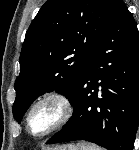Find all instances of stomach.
<instances>
[{
	"mask_svg": "<svg viewBox=\"0 0 139 150\" xmlns=\"http://www.w3.org/2000/svg\"><path fill=\"white\" fill-rule=\"evenodd\" d=\"M51 150H80V149H79V146L68 144V145H63V146L53 148Z\"/></svg>",
	"mask_w": 139,
	"mask_h": 150,
	"instance_id": "1",
	"label": "stomach"
}]
</instances>
